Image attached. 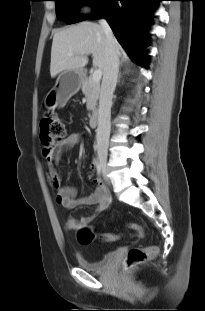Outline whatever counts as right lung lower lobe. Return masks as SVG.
<instances>
[{
  "mask_svg": "<svg viewBox=\"0 0 205 311\" xmlns=\"http://www.w3.org/2000/svg\"><path fill=\"white\" fill-rule=\"evenodd\" d=\"M159 0H103L91 19L104 17L134 61L146 66L147 29Z\"/></svg>",
  "mask_w": 205,
  "mask_h": 311,
  "instance_id": "obj_1",
  "label": "right lung lower lobe"
}]
</instances>
